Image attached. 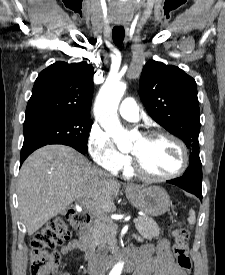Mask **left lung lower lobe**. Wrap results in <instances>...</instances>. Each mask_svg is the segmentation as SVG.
<instances>
[{
  "mask_svg": "<svg viewBox=\"0 0 225 275\" xmlns=\"http://www.w3.org/2000/svg\"><path fill=\"white\" fill-rule=\"evenodd\" d=\"M168 183L175 184L182 189L195 194L202 199V168L201 161L190 163L182 177L168 180Z\"/></svg>",
  "mask_w": 225,
  "mask_h": 275,
  "instance_id": "0a47b994",
  "label": "left lung lower lobe"
}]
</instances>
